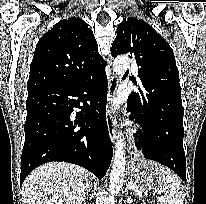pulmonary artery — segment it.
Returning <instances> with one entry per match:
<instances>
[{
	"label": "pulmonary artery",
	"mask_w": 206,
	"mask_h": 204,
	"mask_svg": "<svg viewBox=\"0 0 206 204\" xmlns=\"http://www.w3.org/2000/svg\"><path fill=\"white\" fill-rule=\"evenodd\" d=\"M132 72H133V73H137V72H138V71H137V68H133V69H132Z\"/></svg>",
	"instance_id": "e3ab8cb5"
}]
</instances>
